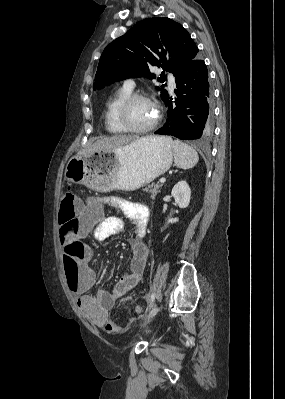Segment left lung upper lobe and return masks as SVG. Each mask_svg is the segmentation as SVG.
I'll return each instance as SVG.
<instances>
[{
    "label": "left lung upper lobe",
    "instance_id": "left-lung-upper-lobe-1",
    "mask_svg": "<svg viewBox=\"0 0 285 399\" xmlns=\"http://www.w3.org/2000/svg\"><path fill=\"white\" fill-rule=\"evenodd\" d=\"M198 48L183 26L169 18H148L139 21L123 36L110 43L100 58L94 89H101L118 80L136 77L155 78L153 66L177 75L184 64L196 57ZM158 81L164 82V72ZM161 98L169 95L164 85Z\"/></svg>",
    "mask_w": 285,
    "mask_h": 399
}]
</instances>
